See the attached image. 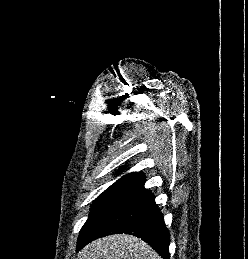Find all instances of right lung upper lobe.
Returning <instances> with one entry per match:
<instances>
[{"mask_svg":"<svg viewBox=\"0 0 248 259\" xmlns=\"http://www.w3.org/2000/svg\"><path fill=\"white\" fill-rule=\"evenodd\" d=\"M144 180H145V176L143 174H139V173L134 172V173H130V174H127V175L121 177L115 183L135 186V185L141 183Z\"/></svg>","mask_w":248,"mask_h":259,"instance_id":"1","label":"right lung upper lobe"}]
</instances>
